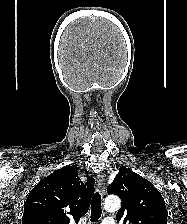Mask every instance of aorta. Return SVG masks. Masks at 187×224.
<instances>
[{"label": "aorta", "mask_w": 187, "mask_h": 224, "mask_svg": "<svg viewBox=\"0 0 187 224\" xmlns=\"http://www.w3.org/2000/svg\"><path fill=\"white\" fill-rule=\"evenodd\" d=\"M121 201L117 196H109L105 199L104 209L108 212H115L119 210Z\"/></svg>", "instance_id": "aorta-1"}]
</instances>
